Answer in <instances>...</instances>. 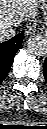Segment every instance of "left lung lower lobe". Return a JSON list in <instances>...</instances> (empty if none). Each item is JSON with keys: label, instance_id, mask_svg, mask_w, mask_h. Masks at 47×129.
Returning a JSON list of instances; mask_svg holds the SVG:
<instances>
[{"label": "left lung lower lobe", "instance_id": "obj_1", "mask_svg": "<svg viewBox=\"0 0 47 129\" xmlns=\"http://www.w3.org/2000/svg\"><path fill=\"white\" fill-rule=\"evenodd\" d=\"M43 73H44V77H45L46 82H47V58L43 64Z\"/></svg>", "mask_w": 47, "mask_h": 129}]
</instances>
